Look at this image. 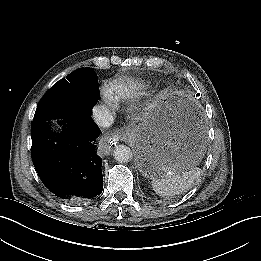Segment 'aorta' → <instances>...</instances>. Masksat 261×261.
Segmentation results:
<instances>
[{"label":"aorta","instance_id":"762f6f07","mask_svg":"<svg viewBox=\"0 0 261 261\" xmlns=\"http://www.w3.org/2000/svg\"><path fill=\"white\" fill-rule=\"evenodd\" d=\"M132 151L126 145H119L114 149V158L120 163L129 162L132 158Z\"/></svg>","mask_w":261,"mask_h":261}]
</instances>
